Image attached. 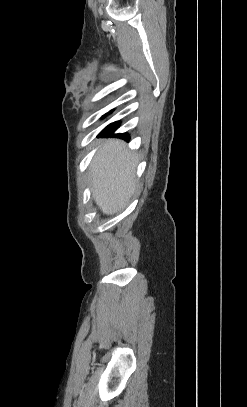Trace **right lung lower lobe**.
<instances>
[{
  "label": "right lung lower lobe",
  "mask_w": 247,
  "mask_h": 407,
  "mask_svg": "<svg viewBox=\"0 0 247 407\" xmlns=\"http://www.w3.org/2000/svg\"><path fill=\"white\" fill-rule=\"evenodd\" d=\"M120 123L119 122H114L109 124L106 128H104L101 133L99 134V136H108V135H112L114 133V131L119 127ZM118 136L122 139H126L129 140V134L127 133H122V134H118Z\"/></svg>",
  "instance_id": "98d812e1"
}]
</instances>
